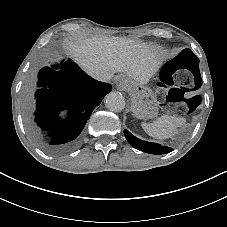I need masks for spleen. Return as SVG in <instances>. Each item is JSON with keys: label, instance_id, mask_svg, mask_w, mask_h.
<instances>
[{"label": "spleen", "instance_id": "spleen-1", "mask_svg": "<svg viewBox=\"0 0 227 227\" xmlns=\"http://www.w3.org/2000/svg\"><path fill=\"white\" fill-rule=\"evenodd\" d=\"M185 122V118L163 115L157 118L153 123H142V128L153 138L165 140L171 138L177 127L183 125Z\"/></svg>", "mask_w": 227, "mask_h": 227}]
</instances>
